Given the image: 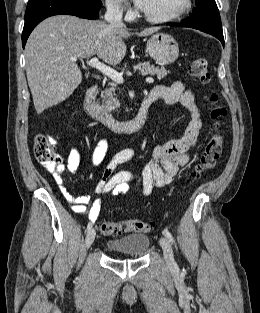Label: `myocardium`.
Returning <instances> with one entry per match:
<instances>
[{
	"instance_id": "myocardium-1",
	"label": "myocardium",
	"mask_w": 260,
	"mask_h": 313,
	"mask_svg": "<svg viewBox=\"0 0 260 313\" xmlns=\"http://www.w3.org/2000/svg\"><path fill=\"white\" fill-rule=\"evenodd\" d=\"M192 7V0H184L183 6L176 11L175 13L168 15V16H163V17H155L151 16L145 11H143L140 8V14L141 16L148 22L151 23H170L179 20L181 17H183Z\"/></svg>"
}]
</instances>
